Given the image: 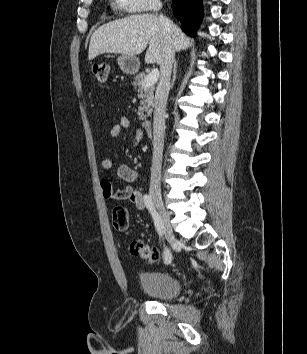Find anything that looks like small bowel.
Returning a JSON list of instances; mask_svg holds the SVG:
<instances>
[{
    "label": "small bowel",
    "mask_w": 307,
    "mask_h": 354,
    "mask_svg": "<svg viewBox=\"0 0 307 354\" xmlns=\"http://www.w3.org/2000/svg\"><path fill=\"white\" fill-rule=\"evenodd\" d=\"M127 130L131 132L132 143L137 144L143 138L142 130L139 128H134L131 121L123 117L118 123L112 126L109 131V138L115 139L123 131ZM113 166V163L110 159H104L101 162V169L103 171H109ZM117 176L125 181L127 185L119 190H115L113 183L108 178H103L100 182L102 194L105 199L108 200H128L134 206L142 210L145 208L144 195L142 188L134 187V183L139 177V172L129 167L128 165H120L116 170Z\"/></svg>",
    "instance_id": "obj_1"
}]
</instances>
